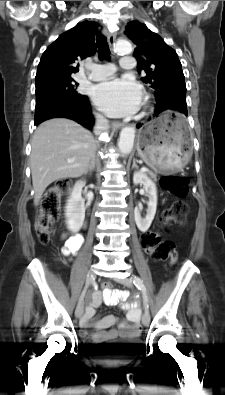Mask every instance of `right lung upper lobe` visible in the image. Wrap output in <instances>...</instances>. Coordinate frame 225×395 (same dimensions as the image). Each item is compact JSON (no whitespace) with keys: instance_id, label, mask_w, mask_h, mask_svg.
Masks as SVG:
<instances>
[{"instance_id":"obj_1","label":"right lung upper lobe","mask_w":225,"mask_h":395,"mask_svg":"<svg viewBox=\"0 0 225 395\" xmlns=\"http://www.w3.org/2000/svg\"><path fill=\"white\" fill-rule=\"evenodd\" d=\"M95 22L78 23L61 34L43 53L35 77L36 86L48 82L72 79L79 71V61L95 53Z\"/></svg>"}]
</instances>
